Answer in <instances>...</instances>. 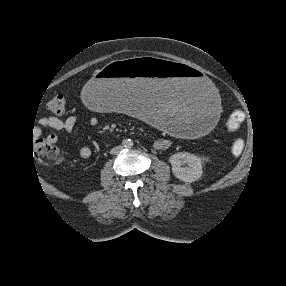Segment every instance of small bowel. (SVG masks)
<instances>
[{
    "mask_svg": "<svg viewBox=\"0 0 286 286\" xmlns=\"http://www.w3.org/2000/svg\"><path fill=\"white\" fill-rule=\"evenodd\" d=\"M91 124L95 125L97 120L95 118L91 119ZM78 123V119L75 116H69L65 119L58 117H45L42 119L40 126L36 130V134L39 135L42 132V128L49 127L55 131H72ZM48 139L52 142H56L58 137L56 134H51L48 136ZM171 145V140L168 138H161L156 141L155 147L158 149H167ZM80 156L83 159H88L92 155V150L88 146H83L79 151Z\"/></svg>",
    "mask_w": 286,
    "mask_h": 286,
    "instance_id": "1",
    "label": "small bowel"
}]
</instances>
